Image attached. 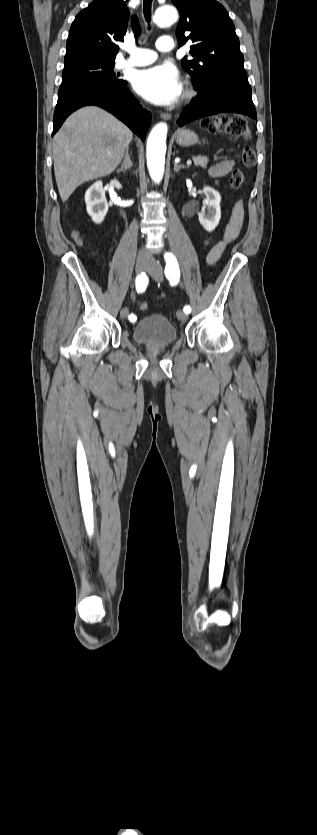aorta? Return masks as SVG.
Listing matches in <instances>:
<instances>
[{"label":"aorta","mask_w":317,"mask_h":835,"mask_svg":"<svg viewBox=\"0 0 317 835\" xmlns=\"http://www.w3.org/2000/svg\"><path fill=\"white\" fill-rule=\"evenodd\" d=\"M177 16L175 7L165 5L155 11L154 22L161 26L171 25L177 20ZM167 131V124L160 122L153 127L147 140V167L155 183L161 182L164 175Z\"/></svg>","instance_id":"aorta-1"}]
</instances>
